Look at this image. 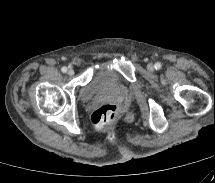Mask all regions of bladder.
Instances as JSON below:
<instances>
[{
  "mask_svg": "<svg viewBox=\"0 0 215 183\" xmlns=\"http://www.w3.org/2000/svg\"><path fill=\"white\" fill-rule=\"evenodd\" d=\"M117 74L110 65L103 64L93 71L92 77L85 87L82 100L88 102L100 94L103 90L114 85Z\"/></svg>",
  "mask_w": 215,
  "mask_h": 183,
  "instance_id": "31cf9c89",
  "label": "bladder"
}]
</instances>
